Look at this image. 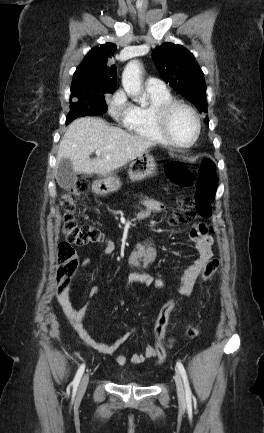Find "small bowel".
Returning <instances> with one entry per match:
<instances>
[{"label": "small bowel", "mask_w": 264, "mask_h": 433, "mask_svg": "<svg viewBox=\"0 0 264 433\" xmlns=\"http://www.w3.org/2000/svg\"><path fill=\"white\" fill-rule=\"evenodd\" d=\"M144 211L143 214L147 215L150 212H159L164 209V204L155 200H146L143 202ZM190 239L195 243L198 257L194 263L188 266L182 275L180 287L178 290L179 295H189L194 287V284L205 267L206 263L212 258V245L213 239L207 233V228L204 224L197 223L189 231ZM105 256H113L114 246L112 242L108 241L105 243L103 251ZM90 262L89 257H85L82 261V265L85 266ZM135 282L143 283L146 286H154L157 289L163 290L166 287L164 280L160 278H154L150 275L144 274H132L128 277L127 284L131 285ZM97 287L91 285L88 289L87 298L84 304L77 308L75 307L70 299V287H66L62 292L58 294V302L61 309L70 324L77 332L79 337L89 346L104 354H115V361L118 365L123 366L127 362L126 356L118 353L119 348L130 338V336L136 331L134 328L129 330L117 338L115 341L110 343H102L93 339L87 329L84 327L83 318L87 309L88 302L96 295ZM173 338L165 339L162 343L163 347H170L173 344ZM157 348L155 345H148L143 351L134 353L130 356L129 360L132 363L140 364L150 358L157 357Z\"/></svg>", "instance_id": "c3829d8e"}]
</instances>
